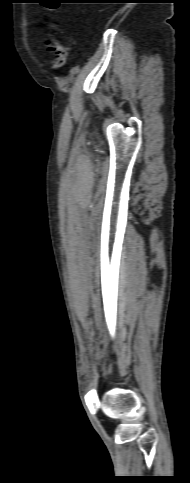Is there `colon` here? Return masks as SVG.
<instances>
[{"mask_svg":"<svg viewBox=\"0 0 190 483\" xmlns=\"http://www.w3.org/2000/svg\"><path fill=\"white\" fill-rule=\"evenodd\" d=\"M48 51L51 54V67L54 69L63 68L67 62L68 58V48L66 45L58 38L54 36L48 43Z\"/></svg>","mask_w":190,"mask_h":483,"instance_id":"1","label":"colon"}]
</instances>
